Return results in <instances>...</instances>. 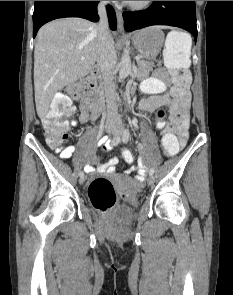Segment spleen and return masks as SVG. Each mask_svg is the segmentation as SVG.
<instances>
[{
	"label": "spleen",
	"instance_id": "obj_1",
	"mask_svg": "<svg viewBox=\"0 0 233 295\" xmlns=\"http://www.w3.org/2000/svg\"><path fill=\"white\" fill-rule=\"evenodd\" d=\"M191 45L188 34L175 30L169 32L163 51L165 64L175 68L190 66Z\"/></svg>",
	"mask_w": 233,
	"mask_h": 295
}]
</instances>
